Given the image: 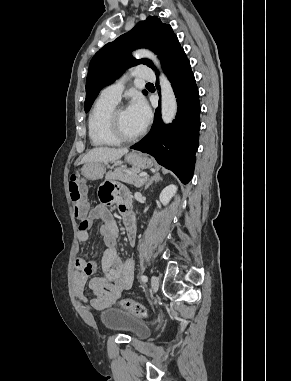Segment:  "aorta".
<instances>
[{"instance_id": "1", "label": "aorta", "mask_w": 291, "mask_h": 381, "mask_svg": "<svg viewBox=\"0 0 291 381\" xmlns=\"http://www.w3.org/2000/svg\"><path fill=\"white\" fill-rule=\"evenodd\" d=\"M137 58H149L160 69V64L157 57L150 51L141 49L134 52ZM161 71V69H160ZM160 88H161V116L165 123H171L177 113V101L172 89L171 83L167 77L161 72L160 74Z\"/></svg>"}]
</instances>
